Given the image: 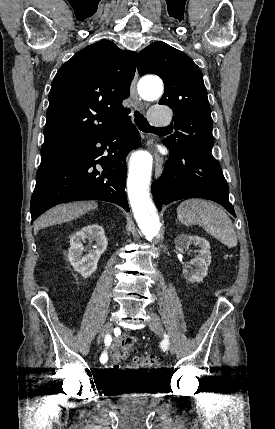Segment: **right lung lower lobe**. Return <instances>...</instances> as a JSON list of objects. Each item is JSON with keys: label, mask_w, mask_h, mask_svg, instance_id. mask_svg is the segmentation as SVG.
<instances>
[{"label": "right lung lower lobe", "mask_w": 275, "mask_h": 429, "mask_svg": "<svg viewBox=\"0 0 275 429\" xmlns=\"http://www.w3.org/2000/svg\"><path fill=\"white\" fill-rule=\"evenodd\" d=\"M139 144V132L127 119L117 127L42 155L31 197L32 222L49 208L75 200L109 201L128 212L126 156Z\"/></svg>", "instance_id": "1"}]
</instances>
